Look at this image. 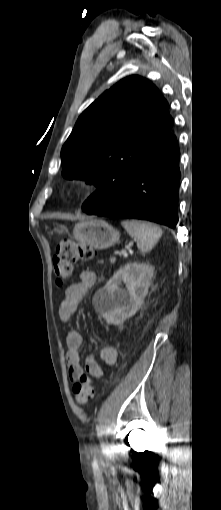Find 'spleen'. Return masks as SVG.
Here are the masks:
<instances>
[{
  "instance_id": "3e777b00",
  "label": "spleen",
  "mask_w": 221,
  "mask_h": 510,
  "mask_svg": "<svg viewBox=\"0 0 221 510\" xmlns=\"http://www.w3.org/2000/svg\"><path fill=\"white\" fill-rule=\"evenodd\" d=\"M128 234L137 242L141 252L152 250L162 235V229L150 222L139 220H125L121 222Z\"/></svg>"
}]
</instances>
